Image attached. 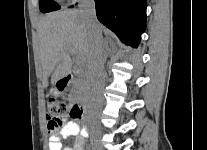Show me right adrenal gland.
Masks as SVG:
<instances>
[{
    "instance_id": "right-adrenal-gland-1",
    "label": "right adrenal gland",
    "mask_w": 207,
    "mask_h": 150,
    "mask_svg": "<svg viewBox=\"0 0 207 150\" xmlns=\"http://www.w3.org/2000/svg\"><path fill=\"white\" fill-rule=\"evenodd\" d=\"M112 54L111 48L105 44L104 46V61H106L107 57Z\"/></svg>"
}]
</instances>
